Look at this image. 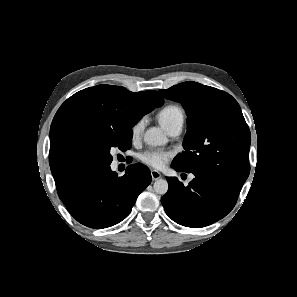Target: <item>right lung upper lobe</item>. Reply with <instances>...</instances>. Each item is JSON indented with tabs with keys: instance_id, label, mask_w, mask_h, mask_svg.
<instances>
[{
	"instance_id": "right-lung-upper-lobe-1",
	"label": "right lung upper lobe",
	"mask_w": 297,
	"mask_h": 297,
	"mask_svg": "<svg viewBox=\"0 0 297 297\" xmlns=\"http://www.w3.org/2000/svg\"><path fill=\"white\" fill-rule=\"evenodd\" d=\"M163 103L154 90L133 93L112 85L86 88L68 98L50 128L49 163L58 193L86 171L81 158L85 142L106 132L131 130Z\"/></svg>"
}]
</instances>
